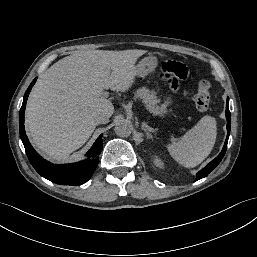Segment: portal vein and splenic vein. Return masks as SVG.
<instances>
[{
	"mask_svg": "<svg viewBox=\"0 0 257 257\" xmlns=\"http://www.w3.org/2000/svg\"><path fill=\"white\" fill-rule=\"evenodd\" d=\"M102 94H103V97H106V98L109 96V92L107 91H104Z\"/></svg>",
	"mask_w": 257,
	"mask_h": 257,
	"instance_id": "18ae733b",
	"label": "portal vein and splenic vein"
}]
</instances>
